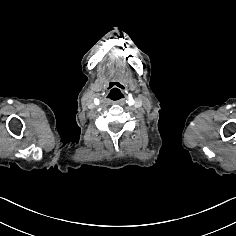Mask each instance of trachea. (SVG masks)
Returning a JSON list of instances; mask_svg holds the SVG:
<instances>
[{
  "label": "trachea",
  "instance_id": "trachea-1",
  "mask_svg": "<svg viewBox=\"0 0 236 236\" xmlns=\"http://www.w3.org/2000/svg\"><path fill=\"white\" fill-rule=\"evenodd\" d=\"M125 97V92L122 89L114 88L107 93V99L110 102H115L117 100H122Z\"/></svg>",
  "mask_w": 236,
  "mask_h": 236
}]
</instances>
